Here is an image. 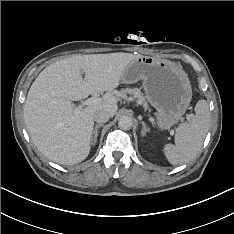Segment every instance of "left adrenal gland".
Instances as JSON below:
<instances>
[{
    "label": "left adrenal gland",
    "mask_w": 234,
    "mask_h": 234,
    "mask_svg": "<svg viewBox=\"0 0 234 234\" xmlns=\"http://www.w3.org/2000/svg\"><path fill=\"white\" fill-rule=\"evenodd\" d=\"M141 124H142V131H141V134H142V136H145L146 133L149 132V129L146 127L145 122L141 121Z\"/></svg>",
    "instance_id": "left-adrenal-gland-1"
}]
</instances>
